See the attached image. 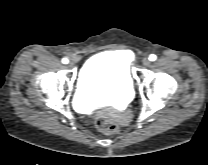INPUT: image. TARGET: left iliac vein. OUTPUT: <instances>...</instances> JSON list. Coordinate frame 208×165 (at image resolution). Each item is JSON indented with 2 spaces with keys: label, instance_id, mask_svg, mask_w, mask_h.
Segmentation results:
<instances>
[{
  "label": "left iliac vein",
  "instance_id": "obj_1",
  "mask_svg": "<svg viewBox=\"0 0 208 165\" xmlns=\"http://www.w3.org/2000/svg\"><path fill=\"white\" fill-rule=\"evenodd\" d=\"M142 63L144 66H149L151 62L147 57H145L143 58Z\"/></svg>",
  "mask_w": 208,
  "mask_h": 165
}]
</instances>
